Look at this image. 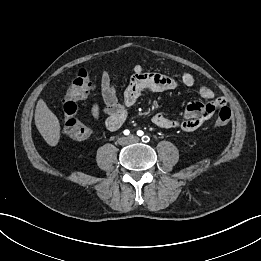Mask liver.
Masks as SVG:
<instances>
[{"label":"liver","instance_id":"6515ba94","mask_svg":"<svg viewBox=\"0 0 261 261\" xmlns=\"http://www.w3.org/2000/svg\"><path fill=\"white\" fill-rule=\"evenodd\" d=\"M35 125L47 144L57 145L60 139V123L43 99H39L36 105Z\"/></svg>","mask_w":261,"mask_h":261}]
</instances>
